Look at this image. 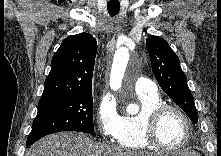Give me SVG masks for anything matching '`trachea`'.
Wrapping results in <instances>:
<instances>
[{
    "mask_svg": "<svg viewBox=\"0 0 221 156\" xmlns=\"http://www.w3.org/2000/svg\"><path fill=\"white\" fill-rule=\"evenodd\" d=\"M107 10L111 16H115L120 11V2L117 0H112L107 3Z\"/></svg>",
    "mask_w": 221,
    "mask_h": 156,
    "instance_id": "obj_1",
    "label": "trachea"
}]
</instances>
